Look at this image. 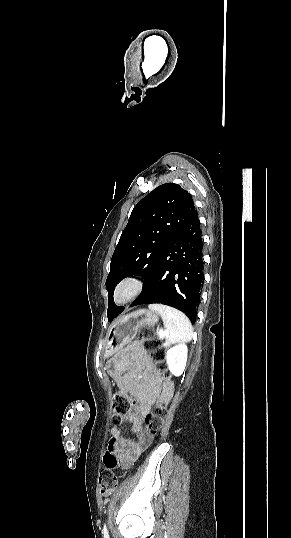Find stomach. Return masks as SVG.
Listing matches in <instances>:
<instances>
[{
	"label": "stomach",
	"instance_id": "stomach-1",
	"mask_svg": "<svg viewBox=\"0 0 291 538\" xmlns=\"http://www.w3.org/2000/svg\"><path fill=\"white\" fill-rule=\"evenodd\" d=\"M158 322V315L149 310H138L123 316L111 326L108 336L105 357L117 354L121 349L131 342L139 328L142 326H154Z\"/></svg>",
	"mask_w": 291,
	"mask_h": 538
}]
</instances>
